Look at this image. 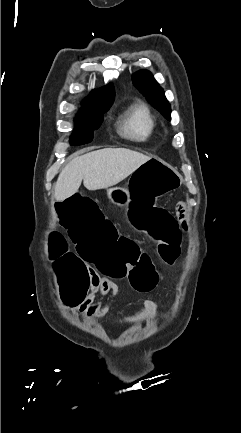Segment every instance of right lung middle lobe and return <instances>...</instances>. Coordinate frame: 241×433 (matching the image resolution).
Segmentation results:
<instances>
[{"label":"right lung middle lobe","instance_id":"dd1d6c3e","mask_svg":"<svg viewBox=\"0 0 241 433\" xmlns=\"http://www.w3.org/2000/svg\"><path fill=\"white\" fill-rule=\"evenodd\" d=\"M84 106L75 123V131L71 136L72 145H81L92 140L93 131L100 126L103 113L106 112L111 105L104 108L88 105Z\"/></svg>","mask_w":241,"mask_h":433}]
</instances>
